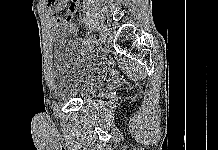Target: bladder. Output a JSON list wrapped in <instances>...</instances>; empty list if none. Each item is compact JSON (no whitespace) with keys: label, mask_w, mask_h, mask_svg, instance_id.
I'll list each match as a JSON object with an SVG mask.
<instances>
[{"label":"bladder","mask_w":218,"mask_h":150,"mask_svg":"<svg viewBox=\"0 0 218 150\" xmlns=\"http://www.w3.org/2000/svg\"><path fill=\"white\" fill-rule=\"evenodd\" d=\"M53 53L52 89L57 99L91 96L109 75L105 62L84 51L70 35L60 34L55 38Z\"/></svg>","instance_id":"bladder-1"}]
</instances>
